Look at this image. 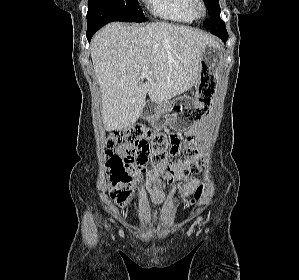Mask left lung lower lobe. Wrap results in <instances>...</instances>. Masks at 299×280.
<instances>
[{
	"label": "left lung lower lobe",
	"instance_id": "obj_1",
	"mask_svg": "<svg viewBox=\"0 0 299 280\" xmlns=\"http://www.w3.org/2000/svg\"><path fill=\"white\" fill-rule=\"evenodd\" d=\"M211 33L221 38L224 42L228 39V33L225 27L212 30Z\"/></svg>",
	"mask_w": 299,
	"mask_h": 280
}]
</instances>
